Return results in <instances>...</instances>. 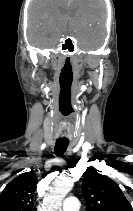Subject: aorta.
Wrapping results in <instances>:
<instances>
[{
  "label": "aorta",
  "mask_w": 133,
  "mask_h": 211,
  "mask_svg": "<svg viewBox=\"0 0 133 211\" xmlns=\"http://www.w3.org/2000/svg\"><path fill=\"white\" fill-rule=\"evenodd\" d=\"M73 188V181L69 178L56 179L48 188L44 198V211H59L65 196Z\"/></svg>",
  "instance_id": "762f6f07"
}]
</instances>
